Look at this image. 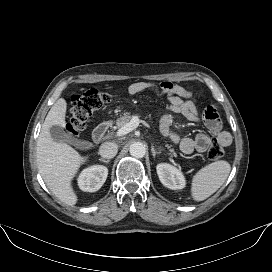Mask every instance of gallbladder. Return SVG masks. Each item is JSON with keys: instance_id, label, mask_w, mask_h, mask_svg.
Returning <instances> with one entry per match:
<instances>
[{"instance_id": "obj_1", "label": "gallbladder", "mask_w": 272, "mask_h": 272, "mask_svg": "<svg viewBox=\"0 0 272 272\" xmlns=\"http://www.w3.org/2000/svg\"><path fill=\"white\" fill-rule=\"evenodd\" d=\"M50 134L56 142L66 143L80 150H83L87 147L86 141L76 139L72 135L66 133L65 130L60 126H52L50 128Z\"/></svg>"}]
</instances>
